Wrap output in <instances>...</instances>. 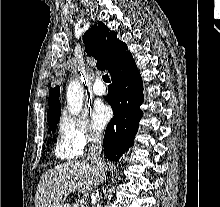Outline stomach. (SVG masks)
Here are the masks:
<instances>
[{
  "instance_id": "0dacf381",
  "label": "stomach",
  "mask_w": 220,
  "mask_h": 207,
  "mask_svg": "<svg viewBox=\"0 0 220 207\" xmlns=\"http://www.w3.org/2000/svg\"><path fill=\"white\" fill-rule=\"evenodd\" d=\"M61 207H69V206H68V205H64V204H63V206H61Z\"/></svg>"
}]
</instances>
